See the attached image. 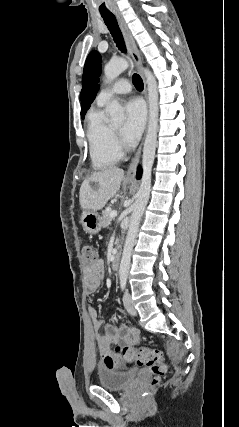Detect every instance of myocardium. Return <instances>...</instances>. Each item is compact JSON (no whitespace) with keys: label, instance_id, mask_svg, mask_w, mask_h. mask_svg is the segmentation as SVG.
Instances as JSON below:
<instances>
[{"label":"myocardium","instance_id":"f54148a6","mask_svg":"<svg viewBox=\"0 0 239 427\" xmlns=\"http://www.w3.org/2000/svg\"><path fill=\"white\" fill-rule=\"evenodd\" d=\"M114 131V134H115V137H116V131L115 130H113ZM118 144V143H117ZM118 146H119V144H118ZM120 149V148H119Z\"/></svg>","mask_w":239,"mask_h":427}]
</instances>
